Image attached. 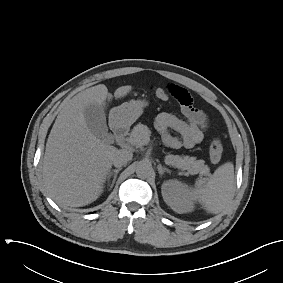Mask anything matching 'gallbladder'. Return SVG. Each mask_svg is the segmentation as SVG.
<instances>
[{
	"label": "gallbladder",
	"instance_id": "gallbladder-1",
	"mask_svg": "<svg viewBox=\"0 0 283 283\" xmlns=\"http://www.w3.org/2000/svg\"><path fill=\"white\" fill-rule=\"evenodd\" d=\"M84 117L89 130L97 137L109 136L104 109L97 104H90L84 110Z\"/></svg>",
	"mask_w": 283,
	"mask_h": 283
}]
</instances>
